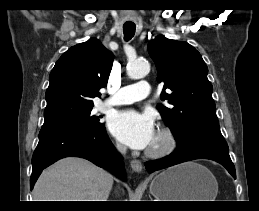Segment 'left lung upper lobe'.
<instances>
[{
  "instance_id": "left-lung-upper-lobe-1",
  "label": "left lung upper lobe",
  "mask_w": 259,
  "mask_h": 211,
  "mask_svg": "<svg viewBox=\"0 0 259 211\" xmlns=\"http://www.w3.org/2000/svg\"><path fill=\"white\" fill-rule=\"evenodd\" d=\"M148 52L158 70L157 81L164 83L160 98L170 104H158L157 108L177 145L200 133L222 136L208 68L200 53L187 42L163 35L148 43Z\"/></svg>"
}]
</instances>
